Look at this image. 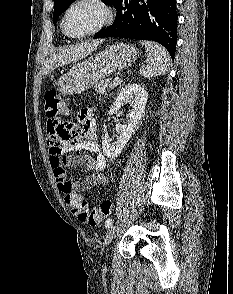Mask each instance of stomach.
Masks as SVG:
<instances>
[{
  "mask_svg": "<svg viewBox=\"0 0 233 294\" xmlns=\"http://www.w3.org/2000/svg\"><path fill=\"white\" fill-rule=\"evenodd\" d=\"M137 56L138 50L133 45L116 43L74 65L59 77L57 89L65 95L79 94L112 73L129 67Z\"/></svg>",
  "mask_w": 233,
  "mask_h": 294,
  "instance_id": "stomach-1",
  "label": "stomach"
}]
</instances>
